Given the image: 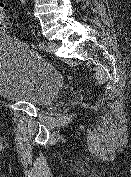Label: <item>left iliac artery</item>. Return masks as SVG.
<instances>
[{"label":"left iliac artery","mask_w":131,"mask_h":177,"mask_svg":"<svg viewBox=\"0 0 131 177\" xmlns=\"http://www.w3.org/2000/svg\"><path fill=\"white\" fill-rule=\"evenodd\" d=\"M38 48H39V49H44V48H45V43L42 42V41H40V42L38 43Z\"/></svg>","instance_id":"1"}]
</instances>
